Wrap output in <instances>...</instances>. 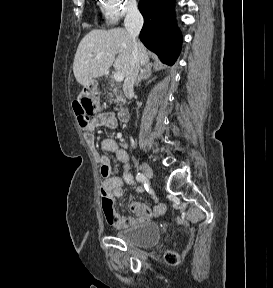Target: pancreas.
Masks as SVG:
<instances>
[{"label":"pancreas","instance_id":"cf45deb5","mask_svg":"<svg viewBox=\"0 0 273 288\" xmlns=\"http://www.w3.org/2000/svg\"><path fill=\"white\" fill-rule=\"evenodd\" d=\"M109 90L110 92L108 93V95L112 98L111 101L119 105L120 101H122V97L121 94H119L118 88L115 87V84L111 83Z\"/></svg>","mask_w":273,"mask_h":288}]
</instances>
